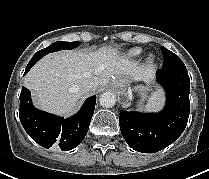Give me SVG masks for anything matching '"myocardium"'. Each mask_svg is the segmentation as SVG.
Segmentation results:
<instances>
[{
  "label": "myocardium",
  "instance_id": "f54148a6",
  "mask_svg": "<svg viewBox=\"0 0 209 179\" xmlns=\"http://www.w3.org/2000/svg\"><path fill=\"white\" fill-rule=\"evenodd\" d=\"M154 60H155L154 54H148V56L146 57V62L148 64H152L154 62Z\"/></svg>",
  "mask_w": 209,
  "mask_h": 179
}]
</instances>
